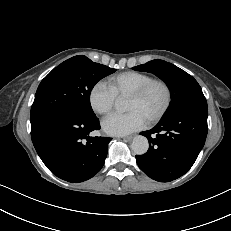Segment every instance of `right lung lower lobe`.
I'll use <instances>...</instances> for the list:
<instances>
[{"instance_id": "98d812e1", "label": "right lung lower lobe", "mask_w": 231, "mask_h": 231, "mask_svg": "<svg viewBox=\"0 0 231 231\" xmlns=\"http://www.w3.org/2000/svg\"><path fill=\"white\" fill-rule=\"evenodd\" d=\"M98 129L97 117L63 113L31 130V138L46 167L57 177L76 183L93 177L104 164L112 138L89 136Z\"/></svg>"}]
</instances>
